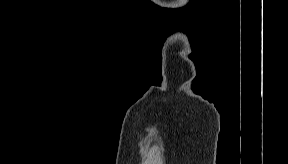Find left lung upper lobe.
Listing matches in <instances>:
<instances>
[{"mask_svg":"<svg viewBox=\"0 0 288 164\" xmlns=\"http://www.w3.org/2000/svg\"><path fill=\"white\" fill-rule=\"evenodd\" d=\"M219 80H215V81H213L212 82V84H211V87L213 88V89H217V86L219 85Z\"/></svg>","mask_w":288,"mask_h":164,"instance_id":"5c2ea615","label":"left lung upper lobe"}]
</instances>
